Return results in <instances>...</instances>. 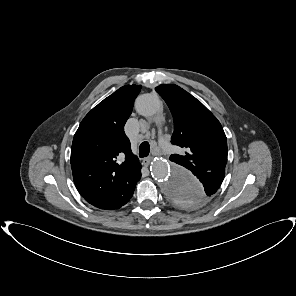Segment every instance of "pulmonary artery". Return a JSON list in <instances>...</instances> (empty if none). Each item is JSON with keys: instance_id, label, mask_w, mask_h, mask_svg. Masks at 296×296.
<instances>
[{"instance_id": "1", "label": "pulmonary artery", "mask_w": 296, "mask_h": 296, "mask_svg": "<svg viewBox=\"0 0 296 296\" xmlns=\"http://www.w3.org/2000/svg\"><path fill=\"white\" fill-rule=\"evenodd\" d=\"M160 142H161L162 147H163L167 152H171V147L165 145V143H164V141H163L162 138L160 139Z\"/></svg>"}]
</instances>
